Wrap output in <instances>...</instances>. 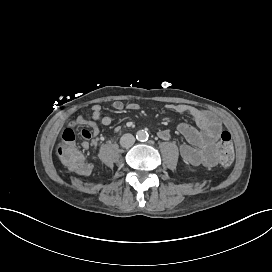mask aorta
<instances>
[{
  "mask_svg": "<svg viewBox=\"0 0 272 272\" xmlns=\"http://www.w3.org/2000/svg\"><path fill=\"white\" fill-rule=\"evenodd\" d=\"M136 138L139 141H146L148 139V134L144 130H140L137 132Z\"/></svg>",
  "mask_w": 272,
  "mask_h": 272,
  "instance_id": "1",
  "label": "aorta"
}]
</instances>
